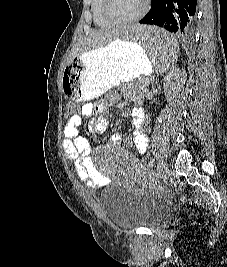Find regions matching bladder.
Listing matches in <instances>:
<instances>
[{
	"instance_id": "obj_1",
	"label": "bladder",
	"mask_w": 227,
	"mask_h": 267,
	"mask_svg": "<svg viewBox=\"0 0 227 267\" xmlns=\"http://www.w3.org/2000/svg\"><path fill=\"white\" fill-rule=\"evenodd\" d=\"M101 203L109 220L118 227L155 228L169 217L168 207L150 194L139 195L117 185L103 195Z\"/></svg>"
}]
</instances>
